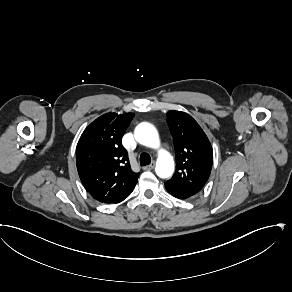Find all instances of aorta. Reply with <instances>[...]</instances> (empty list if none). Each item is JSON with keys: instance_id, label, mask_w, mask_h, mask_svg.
<instances>
[{"instance_id": "obj_1", "label": "aorta", "mask_w": 292, "mask_h": 292, "mask_svg": "<svg viewBox=\"0 0 292 292\" xmlns=\"http://www.w3.org/2000/svg\"><path fill=\"white\" fill-rule=\"evenodd\" d=\"M135 137L139 143L152 148H158L159 136L157 130L149 123H140L135 129ZM174 160L166 150H160L155 171L160 178H168L174 172Z\"/></svg>"}]
</instances>
